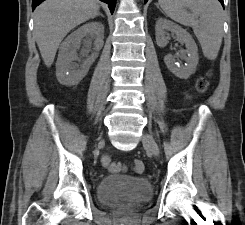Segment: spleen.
I'll return each mask as SVG.
<instances>
[{
    "label": "spleen",
    "mask_w": 245,
    "mask_h": 225,
    "mask_svg": "<svg viewBox=\"0 0 245 225\" xmlns=\"http://www.w3.org/2000/svg\"><path fill=\"white\" fill-rule=\"evenodd\" d=\"M172 20L192 27L204 56L216 59L223 37V9L218 0H158ZM189 9L191 13H188Z\"/></svg>",
    "instance_id": "3e777b00"
}]
</instances>
